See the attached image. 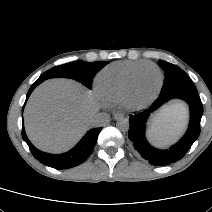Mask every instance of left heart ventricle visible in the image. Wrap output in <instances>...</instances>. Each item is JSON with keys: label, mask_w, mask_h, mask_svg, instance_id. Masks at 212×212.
<instances>
[{"label": "left heart ventricle", "mask_w": 212, "mask_h": 212, "mask_svg": "<svg viewBox=\"0 0 212 212\" xmlns=\"http://www.w3.org/2000/svg\"><path fill=\"white\" fill-rule=\"evenodd\" d=\"M158 81L159 76L154 69L144 70L139 79L136 98L141 100L147 97L156 88Z\"/></svg>", "instance_id": "b2bd125f"}]
</instances>
